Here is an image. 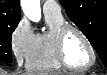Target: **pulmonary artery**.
Listing matches in <instances>:
<instances>
[{"label":"pulmonary artery","instance_id":"1","mask_svg":"<svg viewBox=\"0 0 107 75\" xmlns=\"http://www.w3.org/2000/svg\"><path fill=\"white\" fill-rule=\"evenodd\" d=\"M43 12L44 14L61 16V8L59 4L55 1H45L43 4Z\"/></svg>","mask_w":107,"mask_h":75}]
</instances>
